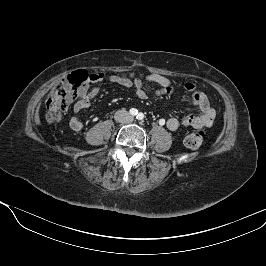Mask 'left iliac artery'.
<instances>
[{
  "instance_id": "44dca946",
  "label": "left iliac artery",
  "mask_w": 266,
  "mask_h": 266,
  "mask_svg": "<svg viewBox=\"0 0 266 266\" xmlns=\"http://www.w3.org/2000/svg\"><path fill=\"white\" fill-rule=\"evenodd\" d=\"M143 118H144V114L140 112V113L137 115V119H138V120H143Z\"/></svg>"
}]
</instances>
